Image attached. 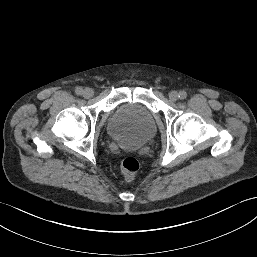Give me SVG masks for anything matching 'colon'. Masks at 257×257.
I'll return each instance as SVG.
<instances>
[{
    "instance_id": "colon-1",
    "label": "colon",
    "mask_w": 257,
    "mask_h": 257,
    "mask_svg": "<svg viewBox=\"0 0 257 257\" xmlns=\"http://www.w3.org/2000/svg\"><path fill=\"white\" fill-rule=\"evenodd\" d=\"M120 169L125 179L131 181L139 170V163L135 158L128 157L122 161Z\"/></svg>"
}]
</instances>
